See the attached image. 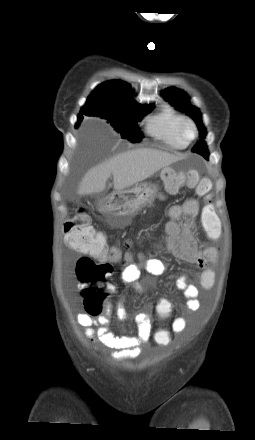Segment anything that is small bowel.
Instances as JSON below:
<instances>
[{
	"label": "small bowel",
	"mask_w": 255,
	"mask_h": 440,
	"mask_svg": "<svg viewBox=\"0 0 255 440\" xmlns=\"http://www.w3.org/2000/svg\"><path fill=\"white\" fill-rule=\"evenodd\" d=\"M199 213L200 205L195 200H187L182 204L169 207L167 211L169 221L162 228L163 243L177 258L201 268L202 272L198 276L200 287L204 290H210L215 283V273L209 265L216 262L217 253L213 247L199 248L198 242L191 234V226L199 216ZM181 219H186V222L180 223ZM212 230L216 231V225ZM129 246L130 242H127L126 248ZM143 269L151 275H162L167 271L165 264L160 259L151 258L143 260L141 264H135L130 263L125 258L123 260L121 280L135 293L142 292V285L139 279ZM175 286L184 293L188 311L196 312L199 310L198 287L188 283L185 276L178 277L175 281ZM151 308V305H147L145 310L135 316L138 327V334L136 336L116 335L109 329L110 313L113 309L111 303L106 304L105 315L93 318L86 313H80L77 316V321L85 328V335L89 340L99 341L106 347L114 350L116 358H133L140 353L141 348L148 344L151 339ZM116 315L120 320L127 318L122 300L116 306ZM184 328V319L176 318L173 321V332L180 333Z\"/></svg>",
	"instance_id": "obj_1"
}]
</instances>
